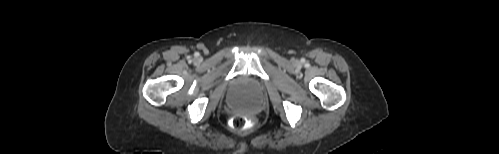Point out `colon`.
I'll list each match as a JSON object with an SVG mask.
<instances>
[{
  "instance_id": "obj_1",
  "label": "colon",
  "mask_w": 499,
  "mask_h": 154,
  "mask_svg": "<svg viewBox=\"0 0 499 154\" xmlns=\"http://www.w3.org/2000/svg\"><path fill=\"white\" fill-rule=\"evenodd\" d=\"M251 124V119L241 115L234 116L231 120L232 128L238 131L247 129L249 126H251Z\"/></svg>"
}]
</instances>
